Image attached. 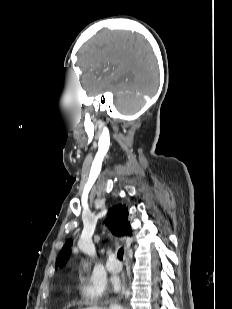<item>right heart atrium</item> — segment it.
<instances>
[{
    "label": "right heart atrium",
    "mask_w": 232,
    "mask_h": 309,
    "mask_svg": "<svg viewBox=\"0 0 232 309\" xmlns=\"http://www.w3.org/2000/svg\"><path fill=\"white\" fill-rule=\"evenodd\" d=\"M79 295L88 305H97L104 301V290L90 280H82L79 285Z\"/></svg>",
    "instance_id": "obj_1"
}]
</instances>
